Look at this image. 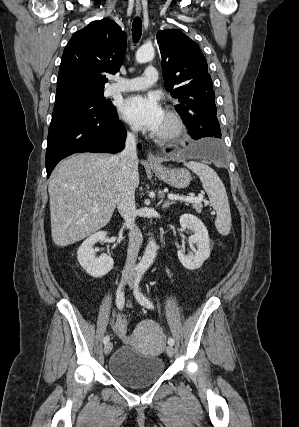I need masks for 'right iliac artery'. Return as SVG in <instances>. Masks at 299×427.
I'll return each instance as SVG.
<instances>
[{"label": "right iliac artery", "instance_id": "obj_1", "mask_svg": "<svg viewBox=\"0 0 299 427\" xmlns=\"http://www.w3.org/2000/svg\"><path fill=\"white\" fill-rule=\"evenodd\" d=\"M122 286H123V280L121 281L116 293V305L118 309H122L124 307V302H125ZM109 340H110L109 336H105L103 339V343L106 344L109 342Z\"/></svg>", "mask_w": 299, "mask_h": 427}]
</instances>
